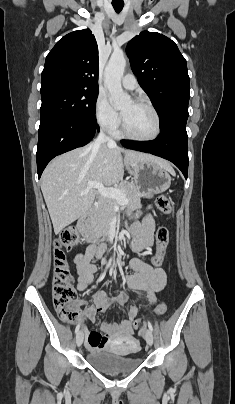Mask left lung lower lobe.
<instances>
[{
  "mask_svg": "<svg viewBox=\"0 0 235 404\" xmlns=\"http://www.w3.org/2000/svg\"><path fill=\"white\" fill-rule=\"evenodd\" d=\"M128 149L151 153L174 163L187 179L188 172V139L186 126L174 125L161 130L160 135L153 141L134 143L121 141Z\"/></svg>",
  "mask_w": 235,
  "mask_h": 404,
  "instance_id": "obj_1",
  "label": "left lung lower lobe"
}]
</instances>
